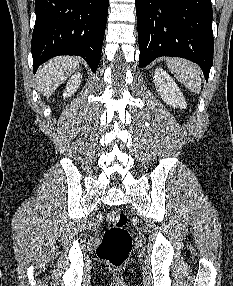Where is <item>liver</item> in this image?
I'll return each instance as SVG.
<instances>
[{
    "mask_svg": "<svg viewBox=\"0 0 233 286\" xmlns=\"http://www.w3.org/2000/svg\"><path fill=\"white\" fill-rule=\"evenodd\" d=\"M75 57H56L42 65L36 74L38 89L49 97L79 67Z\"/></svg>",
    "mask_w": 233,
    "mask_h": 286,
    "instance_id": "obj_1",
    "label": "liver"
}]
</instances>
